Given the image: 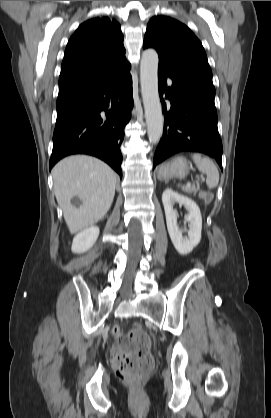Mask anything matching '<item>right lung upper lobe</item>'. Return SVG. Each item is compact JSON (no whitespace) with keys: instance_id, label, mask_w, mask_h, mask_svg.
Listing matches in <instances>:
<instances>
[{"instance_id":"obj_1","label":"right lung upper lobe","mask_w":271,"mask_h":418,"mask_svg":"<svg viewBox=\"0 0 271 418\" xmlns=\"http://www.w3.org/2000/svg\"><path fill=\"white\" fill-rule=\"evenodd\" d=\"M128 67L119 23L107 17L84 22L66 46L56 105L94 94Z\"/></svg>"}]
</instances>
